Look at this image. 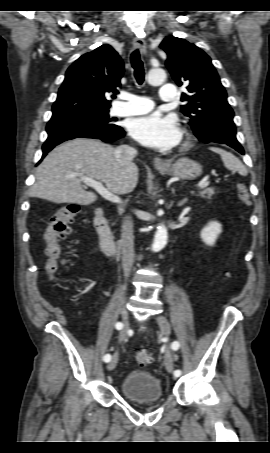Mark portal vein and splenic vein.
I'll list each match as a JSON object with an SVG mask.
<instances>
[{
    "mask_svg": "<svg viewBox=\"0 0 270 453\" xmlns=\"http://www.w3.org/2000/svg\"><path fill=\"white\" fill-rule=\"evenodd\" d=\"M80 177V179L89 187H92L94 188L104 199L112 202V203H116V204H120L122 203L121 199L109 192L104 186L103 184L100 182V181H96L94 179H91V178H88V177H84V176H81V175H77ZM210 184L208 178H204L201 182H200V185L198 187L199 190L201 189H204L206 188L208 185Z\"/></svg>",
    "mask_w": 270,
    "mask_h": 453,
    "instance_id": "portal-vein-and-splenic-vein-1",
    "label": "portal vein and splenic vein"
}]
</instances>
